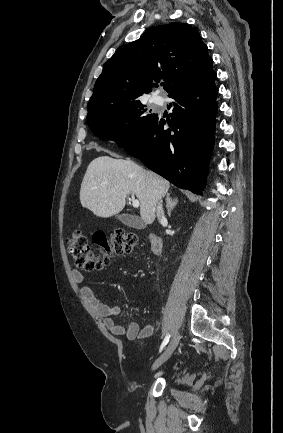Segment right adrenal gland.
<instances>
[{
    "mask_svg": "<svg viewBox=\"0 0 283 433\" xmlns=\"http://www.w3.org/2000/svg\"><path fill=\"white\" fill-rule=\"evenodd\" d=\"M171 192H167V198H166V208H167V214L168 217H171V210L172 208H174V206H176L177 202H178V198H171L170 196Z\"/></svg>",
    "mask_w": 283,
    "mask_h": 433,
    "instance_id": "1",
    "label": "right adrenal gland"
}]
</instances>
